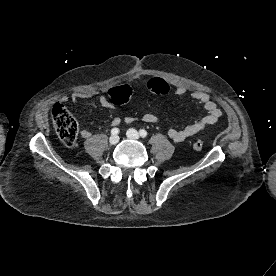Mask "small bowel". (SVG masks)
I'll use <instances>...</instances> for the list:
<instances>
[{
  "mask_svg": "<svg viewBox=\"0 0 276 276\" xmlns=\"http://www.w3.org/2000/svg\"><path fill=\"white\" fill-rule=\"evenodd\" d=\"M126 88H128L132 92L131 87L128 86ZM148 89L151 92L158 93V94H165L168 91V88H166L162 92H157L149 87V83H148ZM174 92H175V94L181 96V95H184L187 92V90L184 86L180 85V86L175 87ZM94 97H96V94L94 92L77 91V92L72 93L70 97L63 96L61 98V101L67 102V101L71 100L72 102H77L82 99H91ZM191 98L195 103L201 105L202 108L207 112V114L204 117L194 121L193 123L185 126L182 129L170 128L168 130V136L176 143L183 142L186 139L199 133L200 131L208 128L209 126L214 125L222 117L223 113H222L221 109L218 107L217 103L212 100V98L209 94L202 92V91H194L191 94ZM98 100L103 107L109 108V109H115V106L105 96H99ZM122 120H124L127 123H132L137 120H142L143 122L150 123V124H156V123L160 122V118L157 115L152 114V113H145V114L141 115L140 117L127 116L124 119L117 116V117L113 118V120L111 121V125L118 126V125H120ZM81 136L83 138L87 139L91 136V131L88 129H83L81 131Z\"/></svg>",
  "mask_w": 276,
  "mask_h": 276,
  "instance_id": "1",
  "label": "small bowel"
}]
</instances>
